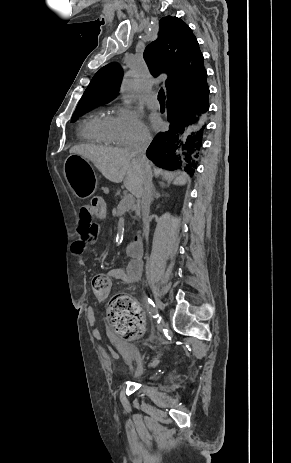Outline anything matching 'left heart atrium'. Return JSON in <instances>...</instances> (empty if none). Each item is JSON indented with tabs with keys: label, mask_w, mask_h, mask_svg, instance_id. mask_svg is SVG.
I'll return each mask as SVG.
<instances>
[{
	"label": "left heart atrium",
	"mask_w": 291,
	"mask_h": 463,
	"mask_svg": "<svg viewBox=\"0 0 291 463\" xmlns=\"http://www.w3.org/2000/svg\"><path fill=\"white\" fill-rule=\"evenodd\" d=\"M152 125L154 128H159L160 127V121L156 118L152 119Z\"/></svg>",
	"instance_id": "39dd6f15"
}]
</instances>
